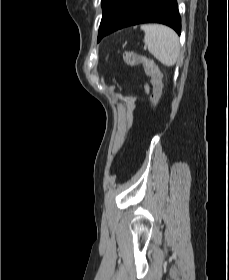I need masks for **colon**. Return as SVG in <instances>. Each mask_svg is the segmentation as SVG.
<instances>
[{
    "label": "colon",
    "instance_id": "5ec220e1",
    "mask_svg": "<svg viewBox=\"0 0 229 280\" xmlns=\"http://www.w3.org/2000/svg\"><path fill=\"white\" fill-rule=\"evenodd\" d=\"M125 60L128 65L134 66V65H146L147 71L150 74L152 78V83L154 86L153 94L150 98V107L152 112H156L159 104H160V99L162 96V77L161 73L157 69L156 66L151 64V62L144 56L139 55L135 52H126L125 53Z\"/></svg>",
    "mask_w": 229,
    "mask_h": 280
}]
</instances>
